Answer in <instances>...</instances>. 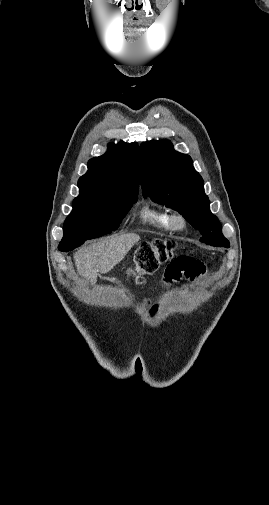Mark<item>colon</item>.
Here are the masks:
<instances>
[{
  "label": "colon",
  "mask_w": 269,
  "mask_h": 505,
  "mask_svg": "<svg viewBox=\"0 0 269 505\" xmlns=\"http://www.w3.org/2000/svg\"><path fill=\"white\" fill-rule=\"evenodd\" d=\"M172 259L196 260L190 256L174 257L173 247L168 242H153L144 244L137 250L135 254V268L130 271V274L135 277L137 281L141 282L143 275L153 274L158 270L161 264L171 261ZM181 272L182 271L177 273V277ZM166 277L165 273V280H167Z\"/></svg>",
  "instance_id": "colon-1"
}]
</instances>
